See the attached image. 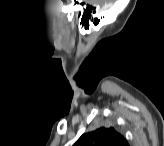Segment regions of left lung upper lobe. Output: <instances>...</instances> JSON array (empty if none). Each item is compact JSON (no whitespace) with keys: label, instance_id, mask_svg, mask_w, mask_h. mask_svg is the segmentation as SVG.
I'll return each mask as SVG.
<instances>
[{"label":"left lung upper lobe","instance_id":"left-lung-upper-lobe-1","mask_svg":"<svg viewBox=\"0 0 164 146\" xmlns=\"http://www.w3.org/2000/svg\"><path fill=\"white\" fill-rule=\"evenodd\" d=\"M73 146H128V143L113 127H100L83 134Z\"/></svg>","mask_w":164,"mask_h":146}]
</instances>
